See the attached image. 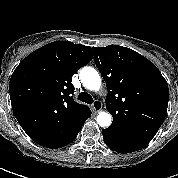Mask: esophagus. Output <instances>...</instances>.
<instances>
[{
	"label": "esophagus",
	"instance_id": "1",
	"mask_svg": "<svg viewBox=\"0 0 178 178\" xmlns=\"http://www.w3.org/2000/svg\"><path fill=\"white\" fill-rule=\"evenodd\" d=\"M91 108H92L93 112L97 113L101 110L102 103L99 100H95L94 103L92 104Z\"/></svg>",
	"mask_w": 178,
	"mask_h": 178
}]
</instances>
